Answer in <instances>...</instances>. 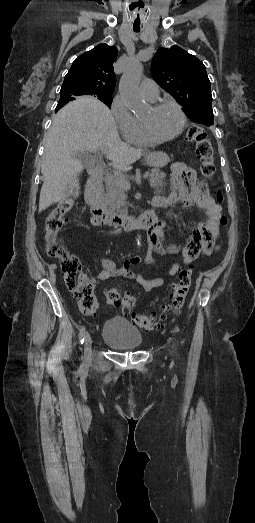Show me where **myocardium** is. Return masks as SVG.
<instances>
[{
	"label": "myocardium",
	"instance_id": "f54148a6",
	"mask_svg": "<svg viewBox=\"0 0 255 523\" xmlns=\"http://www.w3.org/2000/svg\"><path fill=\"white\" fill-rule=\"evenodd\" d=\"M164 106H172L173 108L176 109V111L178 112V114L180 116L179 128L171 136L158 137V136L154 135L153 132L151 131L148 121L146 119H141V126H142L143 133L150 142L164 143V142L172 141L175 138H177L183 132V130L185 128L186 116H185V113L183 112L182 108L177 103H175L173 101H167V100L158 101L151 106V109L158 110Z\"/></svg>",
	"mask_w": 255,
	"mask_h": 523
}]
</instances>
